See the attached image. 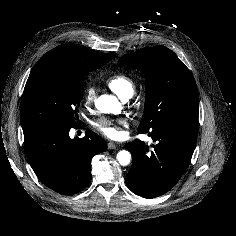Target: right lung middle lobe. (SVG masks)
Masks as SVG:
<instances>
[{
	"instance_id": "dd1d6c3e",
	"label": "right lung middle lobe",
	"mask_w": 236,
	"mask_h": 236,
	"mask_svg": "<svg viewBox=\"0 0 236 236\" xmlns=\"http://www.w3.org/2000/svg\"><path fill=\"white\" fill-rule=\"evenodd\" d=\"M102 65L79 68L34 66L23 92L21 125L23 130L36 125L64 127L78 125V106L83 80L88 72Z\"/></svg>"
}]
</instances>
